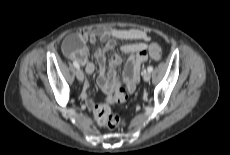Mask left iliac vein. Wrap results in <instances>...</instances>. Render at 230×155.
<instances>
[{"mask_svg":"<svg viewBox=\"0 0 230 155\" xmlns=\"http://www.w3.org/2000/svg\"><path fill=\"white\" fill-rule=\"evenodd\" d=\"M150 78H151L150 72H144L143 73V79H144V81L148 82L150 80Z\"/></svg>","mask_w":230,"mask_h":155,"instance_id":"1","label":"left iliac vein"}]
</instances>
